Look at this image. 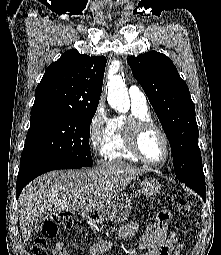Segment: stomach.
<instances>
[{
	"mask_svg": "<svg viewBox=\"0 0 221 255\" xmlns=\"http://www.w3.org/2000/svg\"><path fill=\"white\" fill-rule=\"evenodd\" d=\"M140 187L142 194L148 197L155 196L160 191V185L154 178H146L141 182ZM131 208L130 199L124 194H119L88 218L95 221L110 220L124 223L129 218Z\"/></svg>",
	"mask_w": 221,
	"mask_h": 255,
	"instance_id": "stomach-1",
	"label": "stomach"
}]
</instances>
